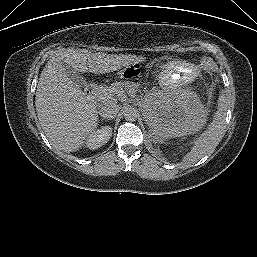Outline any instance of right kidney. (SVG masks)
<instances>
[{"label":"right kidney","instance_id":"right-kidney-1","mask_svg":"<svg viewBox=\"0 0 257 257\" xmlns=\"http://www.w3.org/2000/svg\"><path fill=\"white\" fill-rule=\"evenodd\" d=\"M112 136V128L104 126L94 131L87 139L86 145L90 149H97L106 144Z\"/></svg>","mask_w":257,"mask_h":257}]
</instances>
